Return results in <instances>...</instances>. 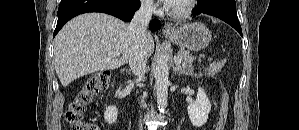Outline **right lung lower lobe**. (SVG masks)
I'll list each match as a JSON object with an SVG mask.
<instances>
[{"instance_id": "1", "label": "right lung lower lobe", "mask_w": 299, "mask_h": 130, "mask_svg": "<svg viewBox=\"0 0 299 130\" xmlns=\"http://www.w3.org/2000/svg\"><path fill=\"white\" fill-rule=\"evenodd\" d=\"M139 7V0H61L54 36L67 21L79 14L102 12L129 22ZM159 27L158 20H153L150 23V28L153 30H157Z\"/></svg>"}]
</instances>
